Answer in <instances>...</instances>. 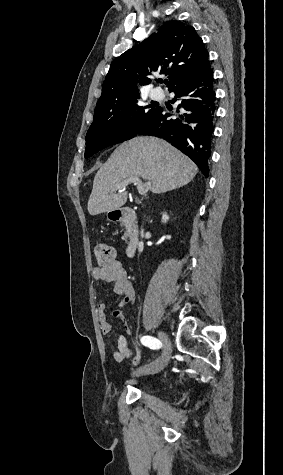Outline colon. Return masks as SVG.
Instances as JSON below:
<instances>
[{
  "label": "colon",
  "mask_w": 283,
  "mask_h": 475,
  "mask_svg": "<svg viewBox=\"0 0 283 475\" xmlns=\"http://www.w3.org/2000/svg\"><path fill=\"white\" fill-rule=\"evenodd\" d=\"M94 256L99 266H109L116 261L114 248L107 244L95 245Z\"/></svg>",
  "instance_id": "1"
}]
</instances>
